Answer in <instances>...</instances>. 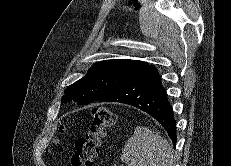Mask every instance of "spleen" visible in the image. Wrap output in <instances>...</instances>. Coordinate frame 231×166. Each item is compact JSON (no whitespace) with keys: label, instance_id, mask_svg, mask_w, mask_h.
I'll return each instance as SVG.
<instances>
[{"label":"spleen","instance_id":"spleen-1","mask_svg":"<svg viewBox=\"0 0 231 166\" xmlns=\"http://www.w3.org/2000/svg\"><path fill=\"white\" fill-rule=\"evenodd\" d=\"M121 160L127 166H174L173 148L158 131L139 126L125 144Z\"/></svg>","mask_w":231,"mask_h":166}]
</instances>
